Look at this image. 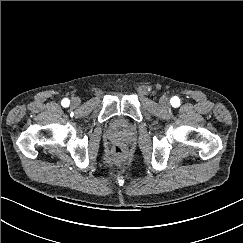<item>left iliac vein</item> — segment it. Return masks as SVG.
<instances>
[{
	"label": "left iliac vein",
	"mask_w": 243,
	"mask_h": 243,
	"mask_svg": "<svg viewBox=\"0 0 243 243\" xmlns=\"http://www.w3.org/2000/svg\"><path fill=\"white\" fill-rule=\"evenodd\" d=\"M160 104L163 106V107H168L169 106V100L167 97L163 96L160 98Z\"/></svg>",
	"instance_id": "1"
}]
</instances>
